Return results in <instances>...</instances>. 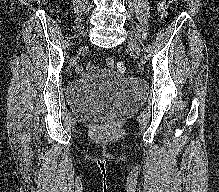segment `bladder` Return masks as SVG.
Wrapping results in <instances>:
<instances>
[{"instance_id":"obj_1","label":"bladder","mask_w":219,"mask_h":192,"mask_svg":"<svg viewBox=\"0 0 219 192\" xmlns=\"http://www.w3.org/2000/svg\"><path fill=\"white\" fill-rule=\"evenodd\" d=\"M146 95L141 82L106 71L82 77L68 85L69 108L90 120H106L139 105Z\"/></svg>"}]
</instances>
